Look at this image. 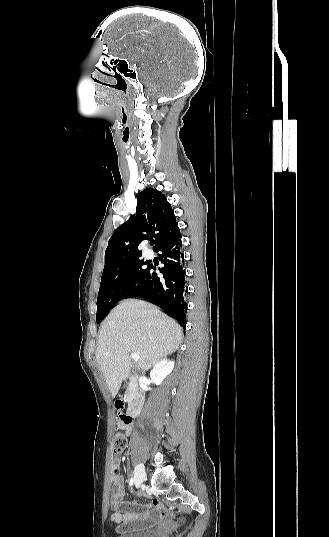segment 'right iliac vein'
Wrapping results in <instances>:
<instances>
[{"label":"right iliac vein","instance_id":"obj_1","mask_svg":"<svg viewBox=\"0 0 329 537\" xmlns=\"http://www.w3.org/2000/svg\"><path fill=\"white\" fill-rule=\"evenodd\" d=\"M145 478V468L142 463H138L135 469V485L140 487Z\"/></svg>","mask_w":329,"mask_h":537}]
</instances>
